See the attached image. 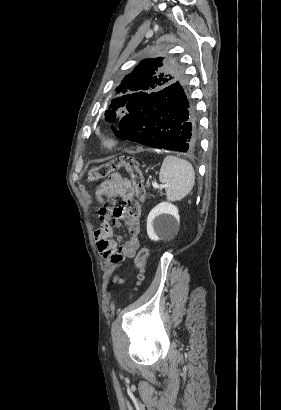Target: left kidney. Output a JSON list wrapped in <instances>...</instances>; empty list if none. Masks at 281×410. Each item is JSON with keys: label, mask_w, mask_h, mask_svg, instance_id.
I'll list each match as a JSON object with an SVG mask.
<instances>
[{"label": "left kidney", "mask_w": 281, "mask_h": 410, "mask_svg": "<svg viewBox=\"0 0 281 410\" xmlns=\"http://www.w3.org/2000/svg\"><path fill=\"white\" fill-rule=\"evenodd\" d=\"M179 221L178 208L169 202H161L150 211L147 217V234L151 240L158 241L160 238L156 230L172 228Z\"/></svg>", "instance_id": "obj_1"}]
</instances>
